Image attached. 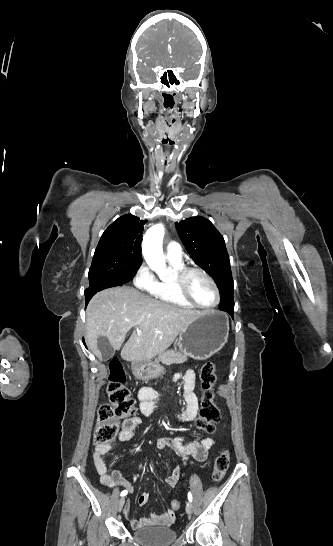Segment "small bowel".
Wrapping results in <instances>:
<instances>
[{
  "mask_svg": "<svg viewBox=\"0 0 333 546\" xmlns=\"http://www.w3.org/2000/svg\"><path fill=\"white\" fill-rule=\"evenodd\" d=\"M175 380H182V397L185 401L184 410L177 416V421L187 423L193 420L198 412V398L194 392L195 388V373L189 369L183 373H177L174 376ZM158 391L152 387H142L138 391L139 409L144 416H151L157 413ZM141 418L134 416L124 421L118 440L121 442L129 441L136 433L141 424ZM213 437H205L201 441L195 440L190 435H179L173 439L163 437L160 438L156 446L159 450L172 449L175 453L185 460L190 458L203 462L207 457L208 450L214 445ZM112 446L96 445L93 451V462L99 474L100 482L103 485L114 487L121 485L130 491L132 487L130 483L125 481L117 469L109 471L105 462V457L111 452ZM181 475V470L178 466H173L170 475L165 478V483L168 487L173 488L178 483ZM149 499L147 493H143L138 497L139 505H145ZM125 518L129 522L132 529H140L147 526H168L174 520V512L169 509L164 513L151 514L147 517L135 519L130 515V505L125 506Z\"/></svg>",
  "mask_w": 333,
  "mask_h": 546,
  "instance_id": "c3829d8e",
  "label": "small bowel"
}]
</instances>
